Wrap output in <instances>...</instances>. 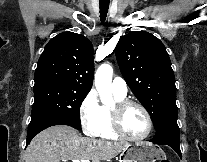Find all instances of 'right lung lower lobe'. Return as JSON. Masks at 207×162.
Here are the masks:
<instances>
[{"mask_svg": "<svg viewBox=\"0 0 207 162\" xmlns=\"http://www.w3.org/2000/svg\"><path fill=\"white\" fill-rule=\"evenodd\" d=\"M54 125H68L75 129H80L75 124L64 118H60L57 116H39L34 119H31V122L28 126L27 144L30 143V141L36 134Z\"/></svg>", "mask_w": 207, "mask_h": 162, "instance_id": "98d812e1", "label": "right lung lower lobe"}]
</instances>
